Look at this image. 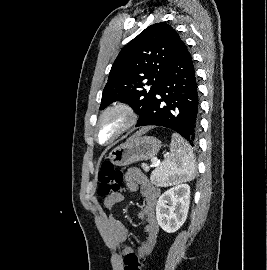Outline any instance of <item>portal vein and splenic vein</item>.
Here are the masks:
<instances>
[{
  "mask_svg": "<svg viewBox=\"0 0 267 270\" xmlns=\"http://www.w3.org/2000/svg\"><path fill=\"white\" fill-rule=\"evenodd\" d=\"M151 163H152V165L154 166V165H156V164L159 163V160H158L157 158H152V159H151Z\"/></svg>",
  "mask_w": 267,
  "mask_h": 270,
  "instance_id": "1",
  "label": "portal vein and splenic vein"
}]
</instances>
